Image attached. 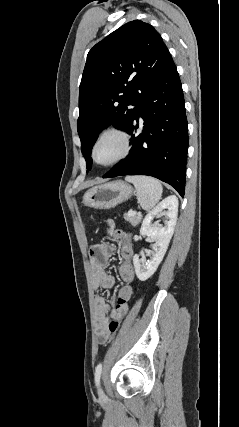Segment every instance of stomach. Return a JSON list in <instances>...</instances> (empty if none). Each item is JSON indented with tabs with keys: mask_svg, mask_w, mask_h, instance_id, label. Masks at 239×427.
Returning <instances> with one entry per match:
<instances>
[{
	"mask_svg": "<svg viewBox=\"0 0 239 427\" xmlns=\"http://www.w3.org/2000/svg\"><path fill=\"white\" fill-rule=\"evenodd\" d=\"M132 187L123 181H114L90 188L83 197V203L95 209H111L128 200Z\"/></svg>",
	"mask_w": 239,
	"mask_h": 427,
	"instance_id": "1",
	"label": "stomach"
}]
</instances>
